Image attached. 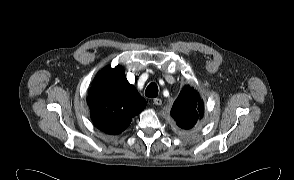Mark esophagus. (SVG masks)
<instances>
[{
  "mask_svg": "<svg viewBox=\"0 0 294 180\" xmlns=\"http://www.w3.org/2000/svg\"><path fill=\"white\" fill-rule=\"evenodd\" d=\"M153 103H154L155 105L159 106V105L162 104V100L159 99V98H154V99H153Z\"/></svg>",
  "mask_w": 294,
  "mask_h": 180,
  "instance_id": "obj_1",
  "label": "esophagus"
}]
</instances>
